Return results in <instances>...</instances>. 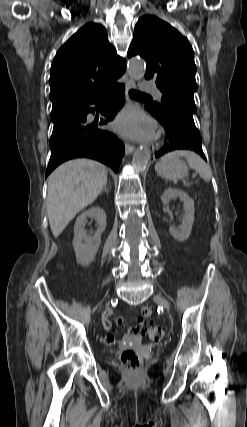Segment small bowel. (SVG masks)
<instances>
[{
  "label": "small bowel",
  "mask_w": 247,
  "mask_h": 427,
  "mask_svg": "<svg viewBox=\"0 0 247 427\" xmlns=\"http://www.w3.org/2000/svg\"><path fill=\"white\" fill-rule=\"evenodd\" d=\"M151 315V309L148 307H144L142 309L141 315L136 319V323L129 328L127 334H125L122 338L124 342H139L141 340L140 332L142 330L145 318ZM115 322L118 325L123 323V317L117 316ZM102 324L105 330H110L112 327V323L109 319V315H105L102 319ZM106 344H113L115 342V337L113 335H107L104 339Z\"/></svg>",
  "instance_id": "c3829d8e"
}]
</instances>
